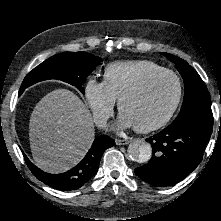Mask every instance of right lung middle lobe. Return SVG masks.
Instances as JSON below:
<instances>
[{
    "label": "right lung middle lobe",
    "instance_id": "1",
    "mask_svg": "<svg viewBox=\"0 0 221 221\" xmlns=\"http://www.w3.org/2000/svg\"><path fill=\"white\" fill-rule=\"evenodd\" d=\"M101 61L100 57L86 52H67L54 55L26 75L19 95L30 85L48 79L67 82L84 93L83 82Z\"/></svg>",
    "mask_w": 221,
    "mask_h": 221
}]
</instances>
